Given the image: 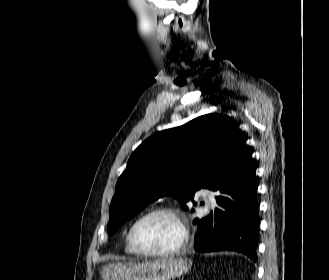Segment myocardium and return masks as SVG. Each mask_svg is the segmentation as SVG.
Listing matches in <instances>:
<instances>
[{"label": "myocardium", "mask_w": 329, "mask_h": 280, "mask_svg": "<svg viewBox=\"0 0 329 280\" xmlns=\"http://www.w3.org/2000/svg\"><path fill=\"white\" fill-rule=\"evenodd\" d=\"M160 214L167 215L175 221V223L177 224L179 231H180L179 241L177 242V244L175 246H173L172 248L167 249V250L152 251V250L144 249L137 242V239H136L137 228L145 219L155 216V215H160ZM129 239H130V243H131L133 249L138 254H141L144 256H149V257H168V256H172V255L179 253L184 248V246L186 245V243L188 241V231H187V228L185 226V223H184L181 215L179 214V212L177 210L170 208V207H157V208L151 209V210L145 212L144 214L140 215L134 221V223L132 224V226L129 230Z\"/></svg>", "instance_id": "obj_1"}]
</instances>
